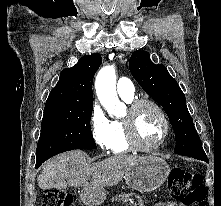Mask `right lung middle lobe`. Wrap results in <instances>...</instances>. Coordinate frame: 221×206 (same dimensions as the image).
Instances as JSON below:
<instances>
[{"mask_svg":"<svg viewBox=\"0 0 221 206\" xmlns=\"http://www.w3.org/2000/svg\"><path fill=\"white\" fill-rule=\"evenodd\" d=\"M93 106L44 110L36 160L73 149H96L90 128Z\"/></svg>","mask_w":221,"mask_h":206,"instance_id":"dd1d6c3e","label":"right lung middle lobe"}]
</instances>
